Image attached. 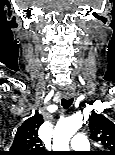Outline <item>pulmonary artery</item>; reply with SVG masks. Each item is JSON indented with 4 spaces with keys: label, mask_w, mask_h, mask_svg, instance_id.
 Returning a JSON list of instances; mask_svg holds the SVG:
<instances>
[{
    "label": "pulmonary artery",
    "mask_w": 115,
    "mask_h": 155,
    "mask_svg": "<svg viewBox=\"0 0 115 155\" xmlns=\"http://www.w3.org/2000/svg\"><path fill=\"white\" fill-rule=\"evenodd\" d=\"M70 144L76 151H84L89 149V141L82 133L75 134Z\"/></svg>",
    "instance_id": "obj_1"
}]
</instances>
